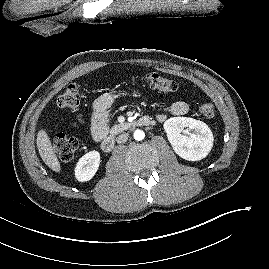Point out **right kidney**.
Masks as SVG:
<instances>
[{
    "instance_id": "ca27d5eb",
    "label": "right kidney",
    "mask_w": 269,
    "mask_h": 269,
    "mask_svg": "<svg viewBox=\"0 0 269 269\" xmlns=\"http://www.w3.org/2000/svg\"><path fill=\"white\" fill-rule=\"evenodd\" d=\"M100 165L98 151H90L83 155L76 164L75 177L79 182H86L93 178Z\"/></svg>"
}]
</instances>
